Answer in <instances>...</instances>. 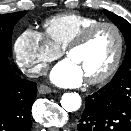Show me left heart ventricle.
<instances>
[{"label":"left heart ventricle","instance_id":"b2bd125f","mask_svg":"<svg viewBox=\"0 0 131 131\" xmlns=\"http://www.w3.org/2000/svg\"><path fill=\"white\" fill-rule=\"evenodd\" d=\"M117 46L116 33L111 28H101L84 46L72 51L67 59L80 69L85 79L95 77L110 66Z\"/></svg>","mask_w":131,"mask_h":131}]
</instances>
